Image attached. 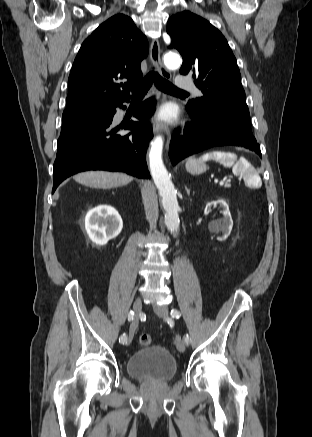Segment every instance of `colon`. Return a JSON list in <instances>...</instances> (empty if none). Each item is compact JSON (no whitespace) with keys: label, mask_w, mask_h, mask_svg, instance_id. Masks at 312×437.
<instances>
[{"label":"colon","mask_w":312,"mask_h":437,"mask_svg":"<svg viewBox=\"0 0 312 437\" xmlns=\"http://www.w3.org/2000/svg\"><path fill=\"white\" fill-rule=\"evenodd\" d=\"M152 342V338L149 334L142 333L139 336V343L143 346H148Z\"/></svg>","instance_id":"obj_1"}]
</instances>
